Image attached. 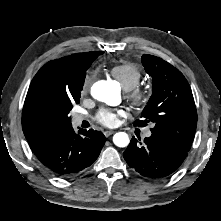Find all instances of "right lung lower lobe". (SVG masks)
<instances>
[{
	"label": "right lung lower lobe",
	"instance_id": "98d812e1",
	"mask_svg": "<svg viewBox=\"0 0 221 221\" xmlns=\"http://www.w3.org/2000/svg\"><path fill=\"white\" fill-rule=\"evenodd\" d=\"M105 142L106 137L100 131L79 129L76 134L71 126L34 154L51 174L69 178L89 167Z\"/></svg>",
	"mask_w": 221,
	"mask_h": 221
}]
</instances>
